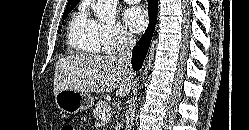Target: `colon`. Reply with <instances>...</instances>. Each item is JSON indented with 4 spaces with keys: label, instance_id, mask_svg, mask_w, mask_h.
<instances>
[{
    "label": "colon",
    "instance_id": "obj_1",
    "mask_svg": "<svg viewBox=\"0 0 249 130\" xmlns=\"http://www.w3.org/2000/svg\"><path fill=\"white\" fill-rule=\"evenodd\" d=\"M61 130H76V128L71 123H65L62 125Z\"/></svg>",
    "mask_w": 249,
    "mask_h": 130
}]
</instances>
